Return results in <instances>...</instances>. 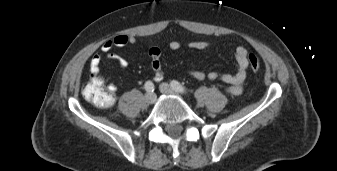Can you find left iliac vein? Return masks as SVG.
<instances>
[{"instance_id":"1","label":"left iliac vein","mask_w":337,"mask_h":171,"mask_svg":"<svg viewBox=\"0 0 337 171\" xmlns=\"http://www.w3.org/2000/svg\"><path fill=\"white\" fill-rule=\"evenodd\" d=\"M160 91L164 94H169V95H178L173 88L167 83H162L160 84Z\"/></svg>"}]
</instances>
